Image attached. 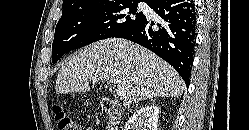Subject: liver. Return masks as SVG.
Masks as SVG:
<instances>
[{"label": "liver", "instance_id": "liver-1", "mask_svg": "<svg viewBox=\"0 0 249 130\" xmlns=\"http://www.w3.org/2000/svg\"><path fill=\"white\" fill-rule=\"evenodd\" d=\"M125 88L123 106L155 97H179L184 83L176 70L146 48L121 38L95 42L62 62L57 94L90 91L89 80Z\"/></svg>", "mask_w": 249, "mask_h": 130}]
</instances>
